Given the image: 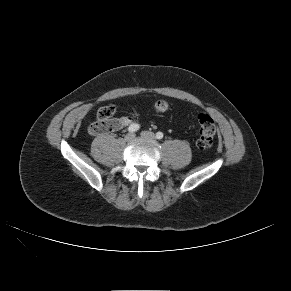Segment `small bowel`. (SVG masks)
Here are the masks:
<instances>
[{
    "mask_svg": "<svg viewBox=\"0 0 291 291\" xmlns=\"http://www.w3.org/2000/svg\"><path fill=\"white\" fill-rule=\"evenodd\" d=\"M136 119L133 116L126 115L122 117H117L112 119L113 123V130L112 131H119L128 125L135 124Z\"/></svg>",
    "mask_w": 291,
    "mask_h": 291,
    "instance_id": "small-bowel-1",
    "label": "small bowel"
}]
</instances>
